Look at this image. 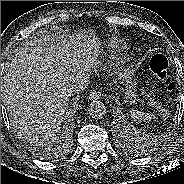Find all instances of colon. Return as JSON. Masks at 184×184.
<instances>
[{
    "label": "colon",
    "mask_w": 184,
    "mask_h": 184,
    "mask_svg": "<svg viewBox=\"0 0 184 184\" xmlns=\"http://www.w3.org/2000/svg\"><path fill=\"white\" fill-rule=\"evenodd\" d=\"M151 70L162 80H164L166 86L172 90L174 88V83L169 78L167 69H168V60L162 54H156L152 57L150 61Z\"/></svg>",
    "instance_id": "5ec220e1"
}]
</instances>
